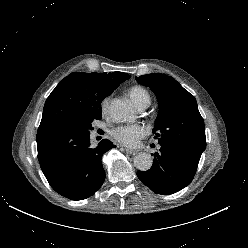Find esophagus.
<instances>
[{
  "label": "esophagus",
  "instance_id": "obj_1",
  "mask_svg": "<svg viewBox=\"0 0 248 248\" xmlns=\"http://www.w3.org/2000/svg\"><path fill=\"white\" fill-rule=\"evenodd\" d=\"M126 153L130 154V155H135L137 154V150H133V149H129V148H125Z\"/></svg>",
  "mask_w": 248,
  "mask_h": 248
}]
</instances>
